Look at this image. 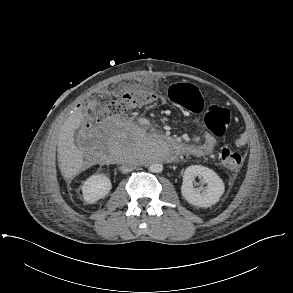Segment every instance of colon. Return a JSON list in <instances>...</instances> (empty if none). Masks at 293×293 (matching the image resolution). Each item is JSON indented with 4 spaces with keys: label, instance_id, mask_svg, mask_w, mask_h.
<instances>
[{
    "label": "colon",
    "instance_id": "colon-1",
    "mask_svg": "<svg viewBox=\"0 0 293 293\" xmlns=\"http://www.w3.org/2000/svg\"><path fill=\"white\" fill-rule=\"evenodd\" d=\"M170 99L175 105L194 113H199L203 109V99L199 89L189 83L174 85L170 92ZM152 102L153 94L150 90L146 88L131 89L121 98L100 106L92 115L90 128L97 130L112 117ZM230 122V110L218 105H211L207 109L204 117L206 127L216 135H223L229 127ZM220 160L222 165L230 171H237L242 164L241 155L228 147L221 149Z\"/></svg>",
    "mask_w": 293,
    "mask_h": 293
}]
</instances>
